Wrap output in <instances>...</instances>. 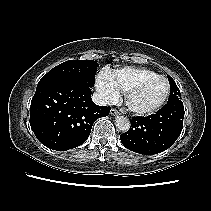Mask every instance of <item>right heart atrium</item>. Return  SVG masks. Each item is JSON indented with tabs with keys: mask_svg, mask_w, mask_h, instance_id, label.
Instances as JSON below:
<instances>
[{
	"mask_svg": "<svg viewBox=\"0 0 211 211\" xmlns=\"http://www.w3.org/2000/svg\"><path fill=\"white\" fill-rule=\"evenodd\" d=\"M96 88L102 100L108 103L116 102L120 91L108 71H102L96 81Z\"/></svg>",
	"mask_w": 211,
	"mask_h": 211,
	"instance_id": "1",
	"label": "right heart atrium"
}]
</instances>
